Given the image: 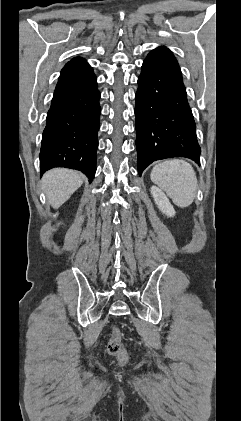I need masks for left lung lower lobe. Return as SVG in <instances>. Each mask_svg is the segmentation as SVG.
<instances>
[{
    "label": "left lung lower lobe",
    "instance_id": "left-lung-lower-lobe-1",
    "mask_svg": "<svg viewBox=\"0 0 241 421\" xmlns=\"http://www.w3.org/2000/svg\"><path fill=\"white\" fill-rule=\"evenodd\" d=\"M135 98L139 175L153 161L165 158L186 157L200 164V146L182 73L166 47L147 55Z\"/></svg>",
    "mask_w": 241,
    "mask_h": 421
}]
</instances>
